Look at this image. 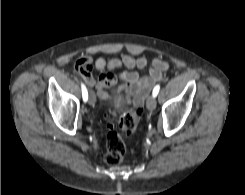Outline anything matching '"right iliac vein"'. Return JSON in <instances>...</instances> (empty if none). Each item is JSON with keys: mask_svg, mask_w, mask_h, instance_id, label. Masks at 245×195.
<instances>
[{"mask_svg": "<svg viewBox=\"0 0 245 195\" xmlns=\"http://www.w3.org/2000/svg\"><path fill=\"white\" fill-rule=\"evenodd\" d=\"M89 104L94 106L95 103H96V97H95V94L94 92L90 91L89 93V100H88Z\"/></svg>", "mask_w": 245, "mask_h": 195, "instance_id": "63e3f726", "label": "right iliac vein"}]
</instances>
